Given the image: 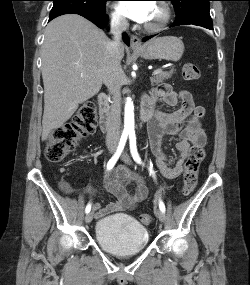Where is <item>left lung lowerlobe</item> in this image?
Segmentation results:
<instances>
[{
	"instance_id": "obj_1",
	"label": "left lung lower lobe",
	"mask_w": 250,
	"mask_h": 285,
	"mask_svg": "<svg viewBox=\"0 0 250 285\" xmlns=\"http://www.w3.org/2000/svg\"><path fill=\"white\" fill-rule=\"evenodd\" d=\"M179 24L174 23L172 26H178ZM182 25H197V26H202L204 28L213 30V25L210 22H205V21H195V22H189L186 24H182ZM153 36H149V37H145L143 39V41H147L148 39L152 38Z\"/></svg>"
}]
</instances>
